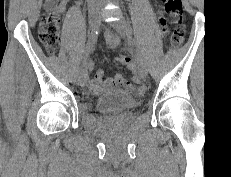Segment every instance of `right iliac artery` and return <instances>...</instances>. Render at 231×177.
<instances>
[{"mask_svg": "<svg viewBox=\"0 0 231 177\" xmlns=\"http://www.w3.org/2000/svg\"><path fill=\"white\" fill-rule=\"evenodd\" d=\"M98 33H99V28L96 27L91 31V33L89 35L87 46H86V49H85L84 55H83V64H86V61H87L91 51L93 50L94 44L97 40Z\"/></svg>", "mask_w": 231, "mask_h": 177, "instance_id": "82829eb1", "label": "right iliac artery"}]
</instances>
